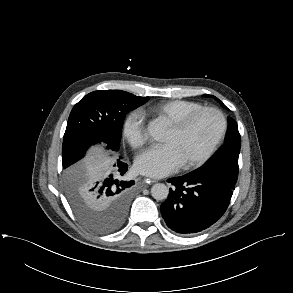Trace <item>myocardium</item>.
<instances>
[{"mask_svg": "<svg viewBox=\"0 0 293 293\" xmlns=\"http://www.w3.org/2000/svg\"><path fill=\"white\" fill-rule=\"evenodd\" d=\"M206 112L214 113L219 117L221 122L219 133L217 134L216 138L214 139L212 144L209 146V148L202 155H200L196 159L183 163L185 168H196L204 164L207 160L211 158V156L215 153V151L217 150V148L219 147L220 143L222 142V140L224 139L226 135L227 128H228L227 118L225 114L218 108L201 107L197 110H194L188 113L187 115L183 116L182 118L175 121L174 123L170 124V128L173 131L180 133L184 131L194 119H196L199 115Z\"/></svg>", "mask_w": 293, "mask_h": 293, "instance_id": "f54148a6", "label": "myocardium"}]
</instances>
